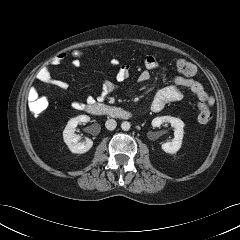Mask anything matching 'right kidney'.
<instances>
[{
	"label": "right kidney",
	"instance_id": "obj_1",
	"mask_svg": "<svg viewBox=\"0 0 240 240\" xmlns=\"http://www.w3.org/2000/svg\"><path fill=\"white\" fill-rule=\"evenodd\" d=\"M90 121V117L87 115H79L68 121L64 131L63 138L65 144L68 146L72 153L83 154L91 149L93 146V141L86 139L85 143H80V135L75 134V128L80 123H87Z\"/></svg>",
	"mask_w": 240,
	"mask_h": 240
}]
</instances>
